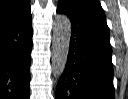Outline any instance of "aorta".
<instances>
[{"label":"aorta","instance_id":"1","mask_svg":"<svg viewBox=\"0 0 128 99\" xmlns=\"http://www.w3.org/2000/svg\"><path fill=\"white\" fill-rule=\"evenodd\" d=\"M71 36V22L66 15H57L53 27L52 68L55 77H60L67 63Z\"/></svg>","mask_w":128,"mask_h":99}]
</instances>
